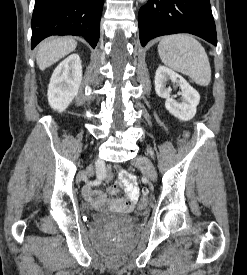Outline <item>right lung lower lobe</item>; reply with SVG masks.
<instances>
[{"instance_id": "98d812e1", "label": "right lung lower lobe", "mask_w": 247, "mask_h": 275, "mask_svg": "<svg viewBox=\"0 0 247 275\" xmlns=\"http://www.w3.org/2000/svg\"><path fill=\"white\" fill-rule=\"evenodd\" d=\"M104 0H35L32 15L34 48L51 35L83 36L95 48Z\"/></svg>"}]
</instances>
